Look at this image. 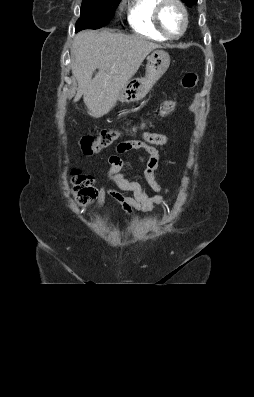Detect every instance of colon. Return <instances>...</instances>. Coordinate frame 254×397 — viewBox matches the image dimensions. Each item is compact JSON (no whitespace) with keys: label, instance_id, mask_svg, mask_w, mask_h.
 Segmentation results:
<instances>
[{"label":"colon","instance_id":"colon-1","mask_svg":"<svg viewBox=\"0 0 254 397\" xmlns=\"http://www.w3.org/2000/svg\"><path fill=\"white\" fill-rule=\"evenodd\" d=\"M198 81L196 71L187 72L181 79V87L183 89H192ZM177 100L175 98L163 100L156 110L159 117H165L171 114L176 108ZM120 136V133L115 129H103L96 137L83 136L80 144L81 149L85 155H92L98 153L102 149L108 147L115 142ZM73 187L76 196L82 200L87 201L96 196V191L92 186V179L88 175L80 174L78 171L74 173Z\"/></svg>","mask_w":254,"mask_h":397}]
</instances>
